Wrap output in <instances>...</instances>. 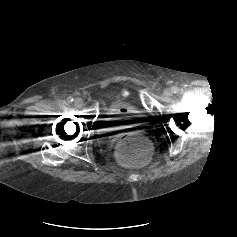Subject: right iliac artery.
<instances>
[{
	"label": "right iliac artery",
	"mask_w": 237,
	"mask_h": 237,
	"mask_svg": "<svg viewBox=\"0 0 237 237\" xmlns=\"http://www.w3.org/2000/svg\"><path fill=\"white\" fill-rule=\"evenodd\" d=\"M73 97H71V96H69L68 98H67V101L69 102V103H72L73 102Z\"/></svg>",
	"instance_id": "1"
}]
</instances>
